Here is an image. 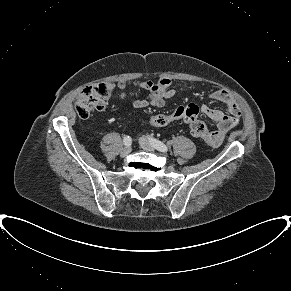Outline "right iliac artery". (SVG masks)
<instances>
[{
    "mask_svg": "<svg viewBox=\"0 0 291 291\" xmlns=\"http://www.w3.org/2000/svg\"><path fill=\"white\" fill-rule=\"evenodd\" d=\"M123 142L126 146H130L131 143H132V139L130 136H125L124 139H123Z\"/></svg>",
    "mask_w": 291,
    "mask_h": 291,
    "instance_id": "right-iliac-artery-1",
    "label": "right iliac artery"
}]
</instances>
